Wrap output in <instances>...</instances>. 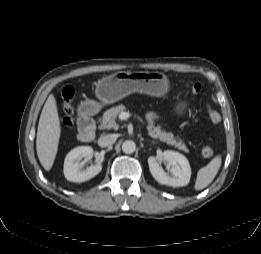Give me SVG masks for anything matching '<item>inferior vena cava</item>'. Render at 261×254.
<instances>
[{
    "label": "inferior vena cava",
    "mask_w": 261,
    "mask_h": 254,
    "mask_svg": "<svg viewBox=\"0 0 261 254\" xmlns=\"http://www.w3.org/2000/svg\"><path fill=\"white\" fill-rule=\"evenodd\" d=\"M117 135L115 134H106L101 135L98 139V145L101 147H107L115 143Z\"/></svg>",
    "instance_id": "obj_1"
}]
</instances>
